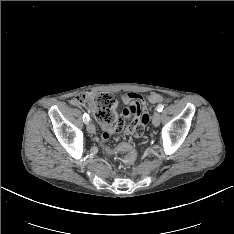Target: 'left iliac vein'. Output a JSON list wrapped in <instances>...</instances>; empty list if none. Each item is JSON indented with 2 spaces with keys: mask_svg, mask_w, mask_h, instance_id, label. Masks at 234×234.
<instances>
[{
  "mask_svg": "<svg viewBox=\"0 0 234 234\" xmlns=\"http://www.w3.org/2000/svg\"><path fill=\"white\" fill-rule=\"evenodd\" d=\"M161 121V114L159 112H155L152 118V123L155 127H158Z\"/></svg>",
  "mask_w": 234,
  "mask_h": 234,
  "instance_id": "4c4485c4",
  "label": "left iliac vein"
}]
</instances>
